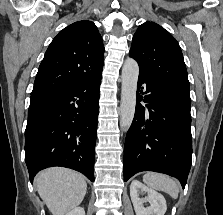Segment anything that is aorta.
Wrapping results in <instances>:
<instances>
[{"mask_svg":"<svg viewBox=\"0 0 223 215\" xmlns=\"http://www.w3.org/2000/svg\"><path fill=\"white\" fill-rule=\"evenodd\" d=\"M139 76V66L132 58H127L122 68V88L120 104V125L129 129L135 113L136 90Z\"/></svg>","mask_w":223,"mask_h":215,"instance_id":"1","label":"aorta"}]
</instances>
